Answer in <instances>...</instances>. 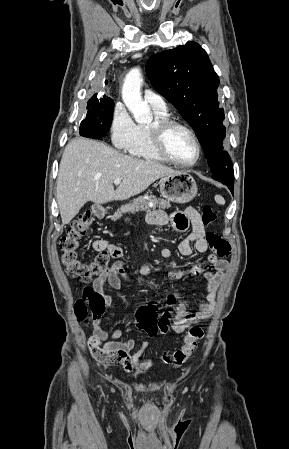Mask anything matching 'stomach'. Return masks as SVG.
<instances>
[{
	"label": "stomach",
	"instance_id": "0dacf381",
	"mask_svg": "<svg viewBox=\"0 0 289 449\" xmlns=\"http://www.w3.org/2000/svg\"><path fill=\"white\" fill-rule=\"evenodd\" d=\"M160 194L168 201L185 204L197 194V184L187 172L177 171L160 180Z\"/></svg>",
	"mask_w": 289,
	"mask_h": 449
}]
</instances>
